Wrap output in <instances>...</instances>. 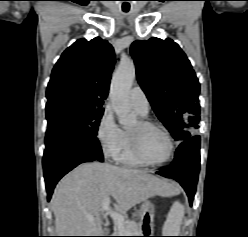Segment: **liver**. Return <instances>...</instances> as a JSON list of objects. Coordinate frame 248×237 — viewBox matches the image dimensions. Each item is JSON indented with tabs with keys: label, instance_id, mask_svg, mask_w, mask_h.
<instances>
[{
	"label": "liver",
	"instance_id": "obj_1",
	"mask_svg": "<svg viewBox=\"0 0 248 237\" xmlns=\"http://www.w3.org/2000/svg\"><path fill=\"white\" fill-rule=\"evenodd\" d=\"M176 190L145 171L107 163H84L57 184L51 204L57 236H102L100 211L112 196L122 214L155 195L168 196ZM87 215L94 217L88 220Z\"/></svg>",
	"mask_w": 248,
	"mask_h": 237
}]
</instances>
